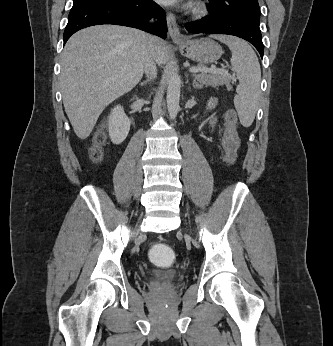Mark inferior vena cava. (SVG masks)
I'll list each match as a JSON object with an SVG mask.
<instances>
[{"label":"inferior vena cava","instance_id":"1","mask_svg":"<svg viewBox=\"0 0 333 346\" xmlns=\"http://www.w3.org/2000/svg\"><path fill=\"white\" fill-rule=\"evenodd\" d=\"M153 40V37H150ZM144 71L148 77V80L154 79L157 75L156 61L153 54L152 47L146 53Z\"/></svg>","mask_w":333,"mask_h":346}]
</instances>
